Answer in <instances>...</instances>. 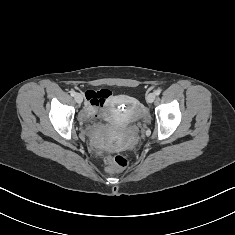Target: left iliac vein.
<instances>
[{
  "instance_id": "left-iliac-vein-1",
  "label": "left iliac vein",
  "mask_w": 235,
  "mask_h": 235,
  "mask_svg": "<svg viewBox=\"0 0 235 235\" xmlns=\"http://www.w3.org/2000/svg\"><path fill=\"white\" fill-rule=\"evenodd\" d=\"M155 98H156L155 93H149V94L147 95V102H148V103H152V102H154Z\"/></svg>"
}]
</instances>
